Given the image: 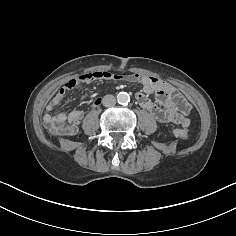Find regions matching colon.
<instances>
[{
  "instance_id": "colon-1",
  "label": "colon",
  "mask_w": 236,
  "mask_h": 236,
  "mask_svg": "<svg viewBox=\"0 0 236 236\" xmlns=\"http://www.w3.org/2000/svg\"><path fill=\"white\" fill-rule=\"evenodd\" d=\"M97 75L102 78H109L112 74L110 72L103 71V72H99ZM176 134L183 139L188 138V134L183 130H176Z\"/></svg>"
}]
</instances>
